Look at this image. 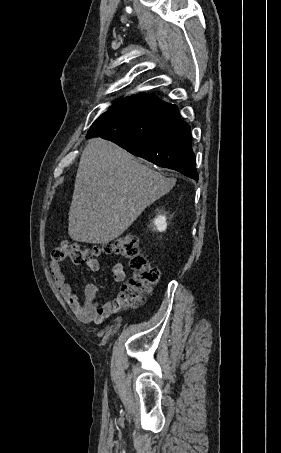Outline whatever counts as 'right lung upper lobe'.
Listing matches in <instances>:
<instances>
[{"mask_svg": "<svg viewBox=\"0 0 281 453\" xmlns=\"http://www.w3.org/2000/svg\"><path fill=\"white\" fill-rule=\"evenodd\" d=\"M144 94H145V93H144ZM140 95H142V94L128 96V97H126V98L121 99L120 101L115 100L113 103L118 104V103H121V102H124V101L132 100V99H135L136 97H138V96H140ZM115 104H114V105H115Z\"/></svg>", "mask_w": 281, "mask_h": 453, "instance_id": "cb5924a9", "label": "right lung upper lobe"}]
</instances>
